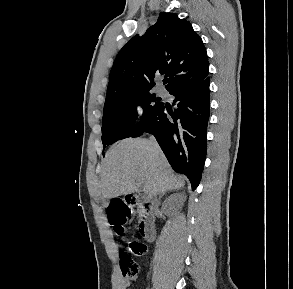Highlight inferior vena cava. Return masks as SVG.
Returning <instances> with one entry per match:
<instances>
[{"label": "inferior vena cava", "instance_id": "1", "mask_svg": "<svg viewBox=\"0 0 293 289\" xmlns=\"http://www.w3.org/2000/svg\"><path fill=\"white\" fill-rule=\"evenodd\" d=\"M151 141L155 144H157V142L155 141L154 137H150ZM157 201V199L155 198L154 201H153V204H155Z\"/></svg>", "mask_w": 293, "mask_h": 289}]
</instances>
